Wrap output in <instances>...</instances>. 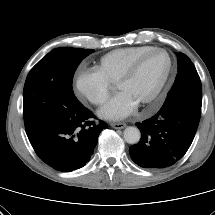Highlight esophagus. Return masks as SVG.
<instances>
[{
	"label": "esophagus",
	"mask_w": 215,
	"mask_h": 215,
	"mask_svg": "<svg viewBox=\"0 0 215 215\" xmlns=\"http://www.w3.org/2000/svg\"><path fill=\"white\" fill-rule=\"evenodd\" d=\"M110 125L115 129H123L126 127L125 123H111Z\"/></svg>",
	"instance_id": "esophagus-1"
}]
</instances>
